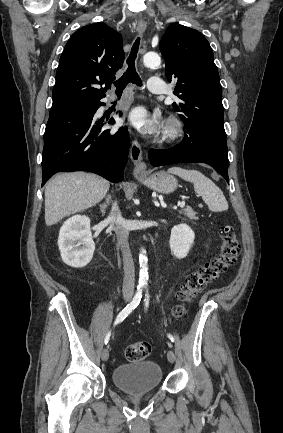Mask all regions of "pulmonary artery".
Returning <instances> with one entry per match:
<instances>
[{
	"instance_id": "e3ab8cb5",
	"label": "pulmonary artery",
	"mask_w": 283,
	"mask_h": 433,
	"mask_svg": "<svg viewBox=\"0 0 283 433\" xmlns=\"http://www.w3.org/2000/svg\"><path fill=\"white\" fill-rule=\"evenodd\" d=\"M147 89L149 92H164L163 78H149L147 80Z\"/></svg>"
}]
</instances>
